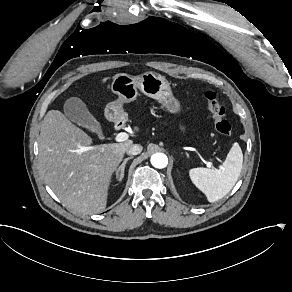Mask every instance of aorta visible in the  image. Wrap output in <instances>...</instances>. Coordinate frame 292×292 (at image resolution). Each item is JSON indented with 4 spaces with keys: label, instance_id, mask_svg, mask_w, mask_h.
Instances as JSON below:
<instances>
[{
    "label": "aorta",
    "instance_id": "762f6f07",
    "mask_svg": "<svg viewBox=\"0 0 292 292\" xmlns=\"http://www.w3.org/2000/svg\"><path fill=\"white\" fill-rule=\"evenodd\" d=\"M151 163L155 168L163 169L168 165V158L162 153L154 154L151 157Z\"/></svg>",
    "mask_w": 292,
    "mask_h": 292
}]
</instances>
